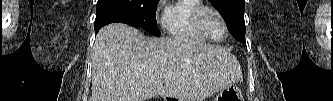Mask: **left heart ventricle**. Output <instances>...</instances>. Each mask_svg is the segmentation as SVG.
Returning a JSON list of instances; mask_svg holds the SVG:
<instances>
[{"label":"left heart ventricle","mask_w":333,"mask_h":101,"mask_svg":"<svg viewBox=\"0 0 333 101\" xmlns=\"http://www.w3.org/2000/svg\"><path fill=\"white\" fill-rule=\"evenodd\" d=\"M202 21L204 28L211 37L218 39L223 36L224 28L216 14L207 11L204 13Z\"/></svg>","instance_id":"b2bd125f"}]
</instances>
